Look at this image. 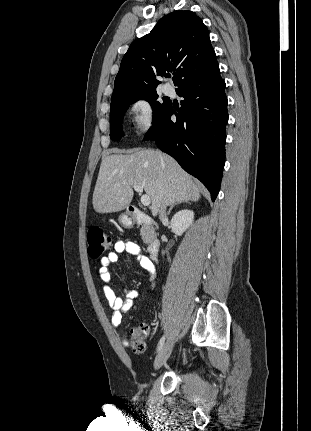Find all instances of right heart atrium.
Listing matches in <instances>:
<instances>
[{"instance_id": "d8ad5b80", "label": "right heart atrium", "mask_w": 311, "mask_h": 431, "mask_svg": "<svg viewBox=\"0 0 311 431\" xmlns=\"http://www.w3.org/2000/svg\"><path fill=\"white\" fill-rule=\"evenodd\" d=\"M135 132L142 136L150 132L156 123V112L150 97L140 95L133 98L127 107Z\"/></svg>"}]
</instances>
